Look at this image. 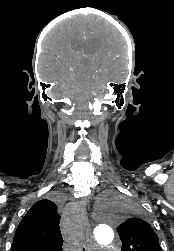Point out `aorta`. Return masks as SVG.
Returning a JSON list of instances; mask_svg holds the SVG:
<instances>
[{
    "instance_id": "obj_1",
    "label": "aorta",
    "mask_w": 174,
    "mask_h": 251,
    "mask_svg": "<svg viewBox=\"0 0 174 251\" xmlns=\"http://www.w3.org/2000/svg\"><path fill=\"white\" fill-rule=\"evenodd\" d=\"M113 212L114 209L107 203L103 202L100 205L99 215L95 221L94 239L101 246L109 245L114 238Z\"/></svg>"
}]
</instances>
